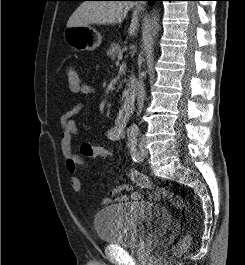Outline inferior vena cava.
I'll list each match as a JSON object with an SVG mask.
<instances>
[{"label": "inferior vena cava", "instance_id": "inferior-vena-cava-1", "mask_svg": "<svg viewBox=\"0 0 245 265\" xmlns=\"http://www.w3.org/2000/svg\"><path fill=\"white\" fill-rule=\"evenodd\" d=\"M144 98H145V90H144V83L142 80V77L139 76V81H138V92H137V106H138V115H140L142 108H143V103H144Z\"/></svg>", "mask_w": 245, "mask_h": 265}]
</instances>
